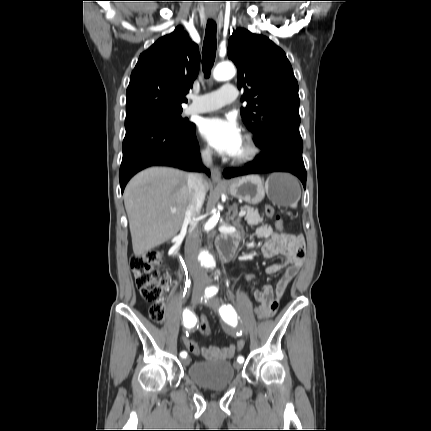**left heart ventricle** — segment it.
Returning a JSON list of instances; mask_svg holds the SVG:
<instances>
[{
	"label": "left heart ventricle",
	"mask_w": 431,
	"mask_h": 431,
	"mask_svg": "<svg viewBox=\"0 0 431 431\" xmlns=\"http://www.w3.org/2000/svg\"><path fill=\"white\" fill-rule=\"evenodd\" d=\"M245 149H246L245 143H244V141H242V144H241L240 148L238 149V151L236 152L235 155H240V154L244 153Z\"/></svg>",
	"instance_id": "b2bd125f"
}]
</instances>
